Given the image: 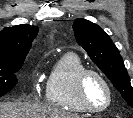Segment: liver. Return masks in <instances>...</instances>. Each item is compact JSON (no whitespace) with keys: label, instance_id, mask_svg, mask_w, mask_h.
<instances>
[{"label":"liver","instance_id":"liver-1","mask_svg":"<svg viewBox=\"0 0 133 118\" xmlns=\"http://www.w3.org/2000/svg\"><path fill=\"white\" fill-rule=\"evenodd\" d=\"M0 118H81L80 115L50 105L30 102L0 103Z\"/></svg>","mask_w":133,"mask_h":118}]
</instances>
